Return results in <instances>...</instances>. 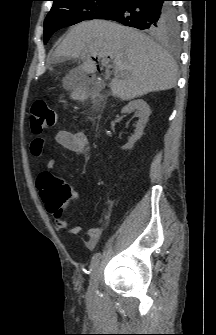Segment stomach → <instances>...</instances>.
Listing matches in <instances>:
<instances>
[{
    "label": "stomach",
    "mask_w": 216,
    "mask_h": 335,
    "mask_svg": "<svg viewBox=\"0 0 216 335\" xmlns=\"http://www.w3.org/2000/svg\"><path fill=\"white\" fill-rule=\"evenodd\" d=\"M71 96L74 99H79L82 96V93H81V91H75V92L72 93Z\"/></svg>",
    "instance_id": "1"
}]
</instances>
